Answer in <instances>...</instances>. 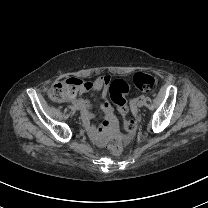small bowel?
I'll use <instances>...</instances> for the list:
<instances>
[{
    "mask_svg": "<svg viewBox=\"0 0 208 208\" xmlns=\"http://www.w3.org/2000/svg\"><path fill=\"white\" fill-rule=\"evenodd\" d=\"M79 84L80 81L78 79H75L70 84H66L64 86V90L67 92L66 94L61 90H58L56 92V95L61 99H64L65 97L67 99H71L73 97V94L69 91L71 89H76ZM91 89L99 93L102 98L101 106L104 113L105 121L99 127L100 133H97L96 125L93 123L92 104L90 103L88 98L83 97L81 95H76L72 98V102L77 106H79L80 108H82L83 110L82 112L86 117L84 119V124L88 126V128H90L86 131V136L88 138H91V140L96 145H100L103 141L107 139V136L114 131L117 121H116V117L113 114L111 105L109 104L106 98L107 84L97 79L95 80V84ZM93 101L95 103H98L100 101V98L98 96H95L93 98Z\"/></svg>",
    "mask_w": 208,
    "mask_h": 208,
    "instance_id": "c3829d8e",
    "label": "small bowel"
}]
</instances>
